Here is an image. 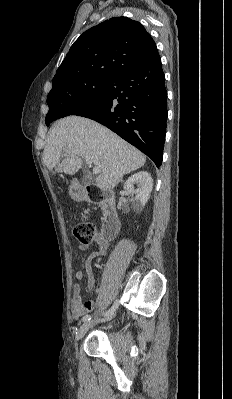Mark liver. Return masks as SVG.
I'll list each match as a JSON object with an SVG mask.
<instances>
[{"instance_id":"1","label":"liver","mask_w":232,"mask_h":399,"mask_svg":"<svg viewBox=\"0 0 232 399\" xmlns=\"http://www.w3.org/2000/svg\"><path fill=\"white\" fill-rule=\"evenodd\" d=\"M82 160H90L100 170L96 186L108 192L125 174L142 168L146 156L93 120L79 116L58 120L48 132L43 154L46 168L73 176L80 170Z\"/></svg>"}]
</instances>
